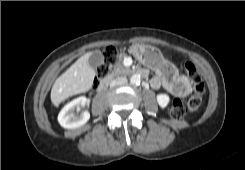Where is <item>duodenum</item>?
<instances>
[{
    "mask_svg": "<svg viewBox=\"0 0 245 170\" xmlns=\"http://www.w3.org/2000/svg\"><path fill=\"white\" fill-rule=\"evenodd\" d=\"M144 71H139L140 75H144ZM110 80L107 78L98 84L97 90L102 91L109 85Z\"/></svg>",
    "mask_w": 245,
    "mask_h": 170,
    "instance_id": "410a0bca",
    "label": "duodenum"
}]
</instances>
